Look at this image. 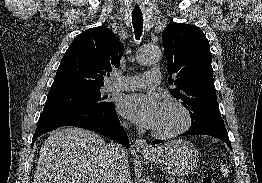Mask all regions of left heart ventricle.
I'll use <instances>...</instances> for the list:
<instances>
[{
    "mask_svg": "<svg viewBox=\"0 0 262 183\" xmlns=\"http://www.w3.org/2000/svg\"><path fill=\"white\" fill-rule=\"evenodd\" d=\"M183 123L181 111L172 105H162L158 120L152 130L159 133H169L179 128Z\"/></svg>",
    "mask_w": 262,
    "mask_h": 183,
    "instance_id": "obj_1",
    "label": "left heart ventricle"
}]
</instances>
